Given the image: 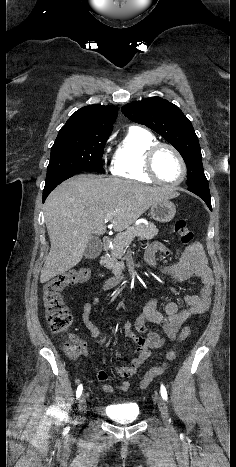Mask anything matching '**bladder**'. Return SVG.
<instances>
[{
    "instance_id": "bladder-1",
    "label": "bladder",
    "mask_w": 236,
    "mask_h": 467,
    "mask_svg": "<svg viewBox=\"0 0 236 467\" xmlns=\"http://www.w3.org/2000/svg\"><path fill=\"white\" fill-rule=\"evenodd\" d=\"M106 413L114 420L124 423L133 422L140 417V409L134 403L110 405Z\"/></svg>"
}]
</instances>
